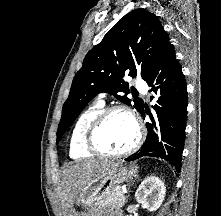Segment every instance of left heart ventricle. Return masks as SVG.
Listing matches in <instances>:
<instances>
[{"mask_svg": "<svg viewBox=\"0 0 221 216\" xmlns=\"http://www.w3.org/2000/svg\"><path fill=\"white\" fill-rule=\"evenodd\" d=\"M136 127L131 118L122 112L110 115L97 133L98 145L108 152H121L132 145Z\"/></svg>", "mask_w": 221, "mask_h": 216, "instance_id": "1", "label": "left heart ventricle"}]
</instances>
